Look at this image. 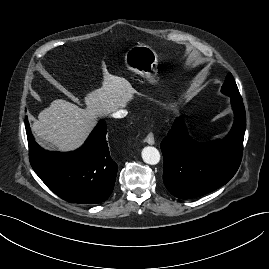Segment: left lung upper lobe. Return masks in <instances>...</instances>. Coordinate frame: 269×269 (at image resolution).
<instances>
[{
    "label": "left lung upper lobe",
    "instance_id": "obj_1",
    "mask_svg": "<svg viewBox=\"0 0 269 269\" xmlns=\"http://www.w3.org/2000/svg\"><path fill=\"white\" fill-rule=\"evenodd\" d=\"M221 92L230 97H240L238 87L231 73L226 76Z\"/></svg>",
    "mask_w": 269,
    "mask_h": 269
}]
</instances>
